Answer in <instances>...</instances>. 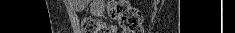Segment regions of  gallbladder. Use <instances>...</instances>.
<instances>
[{
	"label": "gallbladder",
	"mask_w": 235,
	"mask_h": 33,
	"mask_svg": "<svg viewBox=\"0 0 235 33\" xmlns=\"http://www.w3.org/2000/svg\"><path fill=\"white\" fill-rule=\"evenodd\" d=\"M86 6V3L85 4H83V7H85Z\"/></svg>",
	"instance_id": "gallbladder-1"
}]
</instances>
